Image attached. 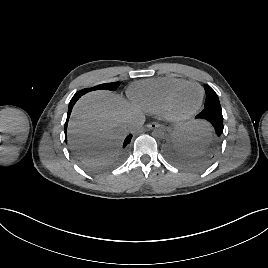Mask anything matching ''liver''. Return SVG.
I'll return each instance as SVG.
<instances>
[{
  "label": "liver",
  "mask_w": 268,
  "mask_h": 268,
  "mask_svg": "<svg viewBox=\"0 0 268 268\" xmlns=\"http://www.w3.org/2000/svg\"><path fill=\"white\" fill-rule=\"evenodd\" d=\"M138 116L122 96L108 91L90 92L73 108L68 124L70 144L83 151L110 148L101 158L108 159Z\"/></svg>",
  "instance_id": "1"
}]
</instances>
